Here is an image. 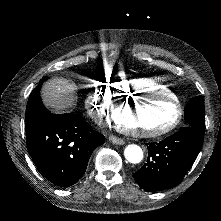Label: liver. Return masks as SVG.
I'll return each instance as SVG.
<instances>
[{
	"label": "liver",
	"mask_w": 221,
	"mask_h": 221,
	"mask_svg": "<svg viewBox=\"0 0 221 221\" xmlns=\"http://www.w3.org/2000/svg\"><path fill=\"white\" fill-rule=\"evenodd\" d=\"M76 90L74 82L63 77H53L43 85V102L56 111L65 110L73 106Z\"/></svg>",
	"instance_id": "obj_1"
}]
</instances>
